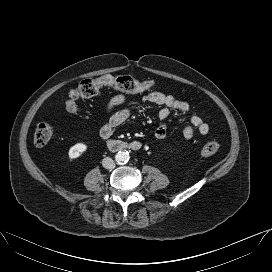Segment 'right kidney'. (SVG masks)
<instances>
[{
	"label": "right kidney",
	"mask_w": 272,
	"mask_h": 272,
	"mask_svg": "<svg viewBox=\"0 0 272 272\" xmlns=\"http://www.w3.org/2000/svg\"><path fill=\"white\" fill-rule=\"evenodd\" d=\"M87 150V145L84 143H77L69 149L68 155L71 159L78 158L83 152Z\"/></svg>",
	"instance_id": "ca27d5eb"
}]
</instances>
